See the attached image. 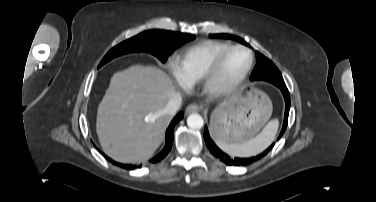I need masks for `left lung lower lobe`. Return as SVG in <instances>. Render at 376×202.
I'll use <instances>...</instances> for the list:
<instances>
[{
    "label": "left lung lower lobe",
    "mask_w": 376,
    "mask_h": 202,
    "mask_svg": "<svg viewBox=\"0 0 376 202\" xmlns=\"http://www.w3.org/2000/svg\"><path fill=\"white\" fill-rule=\"evenodd\" d=\"M277 87L280 88V90H281V92H282V94L284 96L285 105H286L283 127H282V130H281V132H280V134L278 136V139H277V140H279L281 138V136L283 135L284 131L286 130L287 123H288V115H289V109H290V95H289V91H288L286 85H279ZM204 140H205V143H206L208 149L212 153V155H214L215 157L219 158L222 162H224L227 165H236V166H247V165H250V164H252L254 162H257L258 160H260L261 158H263L273 148V146L275 144V142H274L263 153H261V154H259L257 156H253V157H250V158H234V159H232L230 156H228L225 153H223L215 145V143L210 138L207 126H205V130H204Z\"/></svg>",
    "instance_id": "obj_1"
}]
</instances>
